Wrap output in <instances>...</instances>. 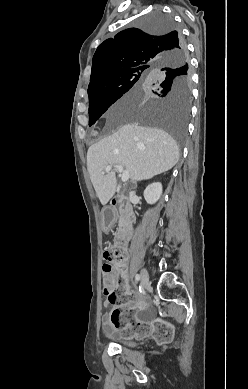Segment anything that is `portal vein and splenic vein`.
Listing matches in <instances>:
<instances>
[{
    "mask_svg": "<svg viewBox=\"0 0 248 389\" xmlns=\"http://www.w3.org/2000/svg\"><path fill=\"white\" fill-rule=\"evenodd\" d=\"M112 167H114L115 169H117V171H119V173H121L122 182H126L129 179V176H130L129 171L124 169L123 166L118 165V164L108 165L105 168V171H103L102 173L103 174L108 173L112 169Z\"/></svg>",
    "mask_w": 248,
    "mask_h": 389,
    "instance_id": "18ae733b",
    "label": "portal vein and splenic vein"
}]
</instances>
